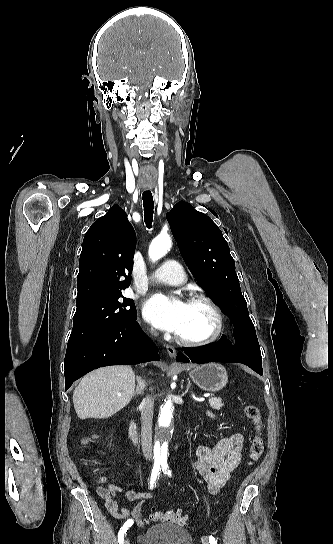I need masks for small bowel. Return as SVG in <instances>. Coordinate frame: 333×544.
<instances>
[{
	"mask_svg": "<svg viewBox=\"0 0 333 544\" xmlns=\"http://www.w3.org/2000/svg\"><path fill=\"white\" fill-rule=\"evenodd\" d=\"M243 435L235 433L221 438L213 447L199 445L196 449L195 468L207 483L210 494H217L226 484L239 465L243 451ZM106 478L99 479L97 494L104 500L106 510L116 519L132 520L138 526L143 524L141 511L145 502L153 497L152 492L125 490L117 484L104 486ZM122 494L127 500L136 502L133 508H123L115 496Z\"/></svg>",
	"mask_w": 333,
	"mask_h": 544,
	"instance_id": "c3829d8e",
	"label": "small bowel"
}]
</instances>
